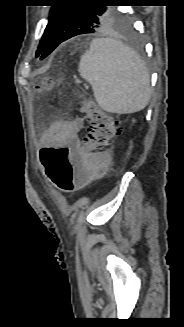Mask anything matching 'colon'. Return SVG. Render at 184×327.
Instances as JSON below:
<instances>
[{
    "instance_id": "colon-1",
    "label": "colon",
    "mask_w": 184,
    "mask_h": 327,
    "mask_svg": "<svg viewBox=\"0 0 184 327\" xmlns=\"http://www.w3.org/2000/svg\"><path fill=\"white\" fill-rule=\"evenodd\" d=\"M51 79L36 87L38 91L50 90ZM80 110L89 123L76 153L68 146H45L40 153L41 163L50 182L65 193L79 189L104 163V153L114 143L120 131V121L111 113L98 108L90 100L81 102Z\"/></svg>"
}]
</instances>
